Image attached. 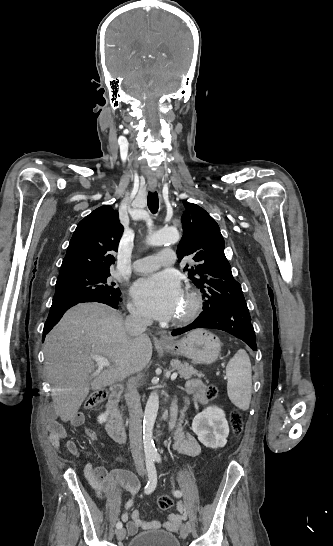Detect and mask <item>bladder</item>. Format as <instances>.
Wrapping results in <instances>:
<instances>
[{
	"mask_svg": "<svg viewBox=\"0 0 333 546\" xmlns=\"http://www.w3.org/2000/svg\"><path fill=\"white\" fill-rule=\"evenodd\" d=\"M128 546H181L177 537L162 530H146L134 535Z\"/></svg>",
	"mask_w": 333,
	"mask_h": 546,
	"instance_id": "31cf9c89",
	"label": "bladder"
}]
</instances>
